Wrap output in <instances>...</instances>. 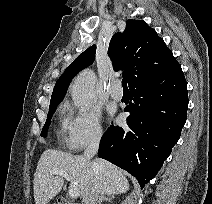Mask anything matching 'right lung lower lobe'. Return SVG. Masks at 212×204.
Returning a JSON list of instances; mask_svg holds the SVG:
<instances>
[{
  "label": "right lung lower lobe",
  "instance_id": "1",
  "mask_svg": "<svg viewBox=\"0 0 212 204\" xmlns=\"http://www.w3.org/2000/svg\"><path fill=\"white\" fill-rule=\"evenodd\" d=\"M125 127L110 126L98 155L135 176L140 186L155 177L186 121L187 84L181 67L130 89Z\"/></svg>",
  "mask_w": 212,
  "mask_h": 204
}]
</instances>
